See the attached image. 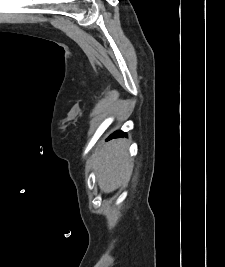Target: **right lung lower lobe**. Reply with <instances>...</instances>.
Masks as SVG:
<instances>
[{"label": "right lung lower lobe", "mask_w": 225, "mask_h": 267, "mask_svg": "<svg viewBox=\"0 0 225 267\" xmlns=\"http://www.w3.org/2000/svg\"><path fill=\"white\" fill-rule=\"evenodd\" d=\"M125 136H127L126 133L122 131H117V132H114L112 135H110L107 140H110L112 138H117V137H125Z\"/></svg>", "instance_id": "98d812e1"}]
</instances>
